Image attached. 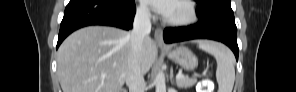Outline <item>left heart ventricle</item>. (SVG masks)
<instances>
[{
  "mask_svg": "<svg viewBox=\"0 0 296 92\" xmlns=\"http://www.w3.org/2000/svg\"><path fill=\"white\" fill-rule=\"evenodd\" d=\"M185 14V9L184 7L179 4V3H174L173 4V9L168 18H180Z\"/></svg>",
  "mask_w": 296,
  "mask_h": 92,
  "instance_id": "b2bd125f",
  "label": "left heart ventricle"
}]
</instances>
